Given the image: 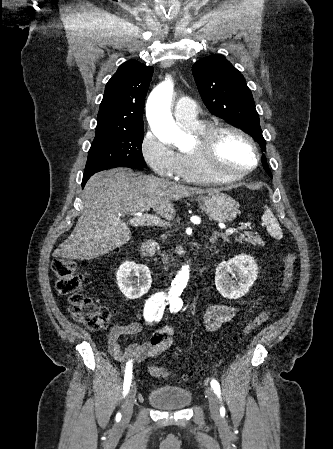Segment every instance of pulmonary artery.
<instances>
[{"instance_id": "e3ab8cb5", "label": "pulmonary artery", "mask_w": 333, "mask_h": 449, "mask_svg": "<svg viewBox=\"0 0 333 449\" xmlns=\"http://www.w3.org/2000/svg\"><path fill=\"white\" fill-rule=\"evenodd\" d=\"M174 117L183 126L197 125L198 115L195 102L189 97L179 99L174 108Z\"/></svg>"}]
</instances>
